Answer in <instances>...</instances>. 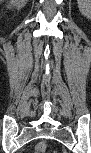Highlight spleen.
I'll return each instance as SVG.
<instances>
[{"instance_id": "obj_1", "label": "spleen", "mask_w": 91, "mask_h": 153, "mask_svg": "<svg viewBox=\"0 0 91 153\" xmlns=\"http://www.w3.org/2000/svg\"><path fill=\"white\" fill-rule=\"evenodd\" d=\"M78 8L80 12L86 17L91 15V1L90 0H78Z\"/></svg>"}]
</instances>
